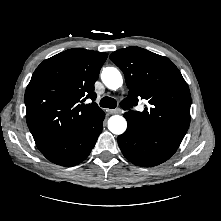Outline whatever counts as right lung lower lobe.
<instances>
[{
  "mask_svg": "<svg viewBox=\"0 0 221 221\" xmlns=\"http://www.w3.org/2000/svg\"><path fill=\"white\" fill-rule=\"evenodd\" d=\"M105 113L102 111L84 123L70 139L43 148L40 151L51 162L61 166H74L85 160L102 132Z\"/></svg>",
  "mask_w": 221,
  "mask_h": 221,
  "instance_id": "98d812e1",
  "label": "right lung lower lobe"
}]
</instances>
